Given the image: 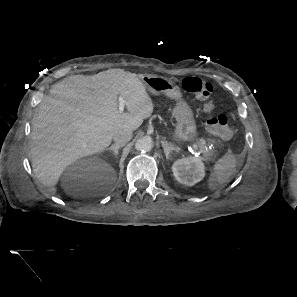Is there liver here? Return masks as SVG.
Wrapping results in <instances>:
<instances>
[{
	"label": "liver",
	"mask_w": 297,
	"mask_h": 297,
	"mask_svg": "<svg viewBox=\"0 0 297 297\" xmlns=\"http://www.w3.org/2000/svg\"><path fill=\"white\" fill-rule=\"evenodd\" d=\"M50 93L39 104L30 154L35 176L52 193L68 165L104 151L117 131L136 130L154 108L143 82L122 69L70 76ZM118 96L128 112H119Z\"/></svg>",
	"instance_id": "6515ba94"
}]
</instances>
